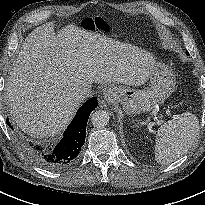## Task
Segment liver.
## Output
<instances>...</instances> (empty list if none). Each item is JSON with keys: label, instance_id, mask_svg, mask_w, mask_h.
Returning a JSON list of instances; mask_svg holds the SVG:
<instances>
[{"label": "liver", "instance_id": "liver-1", "mask_svg": "<svg viewBox=\"0 0 205 205\" xmlns=\"http://www.w3.org/2000/svg\"><path fill=\"white\" fill-rule=\"evenodd\" d=\"M155 60L139 49L73 24L53 23L28 35L6 83L12 123L36 138L59 134L80 106L76 89L93 83L139 86Z\"/></svg>", "mask_w": 205, "mask_h": 205}]
</instances>
